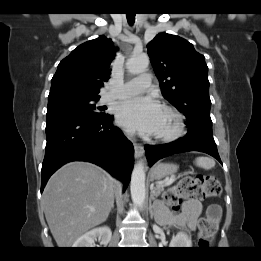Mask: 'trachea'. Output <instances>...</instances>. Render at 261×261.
<instances>
[{
  "instance_id": "trachea-1",
  "label": "trachea",
  "mask_w": 261,
  "mask_h": 261,
  "mask_svg": "<svg viewBox=\"0 0 261 261\" xmlns=\"http://www.w3.org/2000/svg\"><path fill=\"white\" fill-rule=\"evenodd\" d=\"M126 16H127L128 22L130 24H133L134 20H135V13H127Z\"/></svg>"
}]
</instances>
